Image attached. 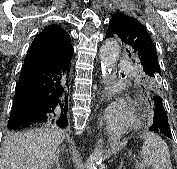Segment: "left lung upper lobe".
Masks as SVG:
<instances>
[{
	"instance_id": "left-lung-upper-lobe-1",
	"label": "left lung upper lobe",
	"mask_w": 177,
	"mask_h": 169,
	"mask_svg": "<svg viewBox=\"0 0 177 169\" xmlns=\"http://www.w3.org/2000/svg\"><path fill=\"white\" fill-rule=\"evenodd\" d=\"M110 37L121 39L129 56L141 65L144 85L160 94L161 70L154 42L146 28L134 17L118 12L109 22L105 39Z\"/></svg>"
}]
</instances>
